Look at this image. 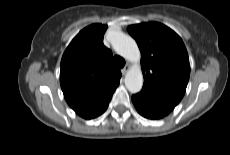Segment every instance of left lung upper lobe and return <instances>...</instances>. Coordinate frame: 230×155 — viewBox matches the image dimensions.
<instances>
[{"label": "left lung upper lobe", "mask_w": 230, "mask_h": 155, "mask_svg": "<svg viewBox=\"0 0 230 155\" xmlns=\"http://www.w3.org/2000/svg\"><path fill=\"white\" fill-rule=\"evenodd\" d=\"M141 51L142 91L178 105L189 81L190 64L182 39L158 22L127 28Z\"/></svg>", "instance_id": "5c2ea615"}]
</instances>
